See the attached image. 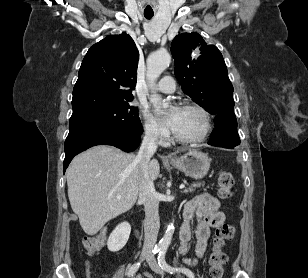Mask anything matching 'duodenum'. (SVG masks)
Segmentation results:
<instances>
[{"label":"duodenum","instance_id":"410a0bca","mask_svg":"<svg viewBox=\"0 0 308 278\" xmlns=\"http://www.w3.org/2000/svg\"><path fill=\"white\" fill-rule=\"evenodd\" d=\"M132 225H133V227H134V232H135L137 235H139L140 233H139L138 229L136 228L135 221H132Z\"/></svg>","mask_w":308,"mask_h":278}]
</instances>
